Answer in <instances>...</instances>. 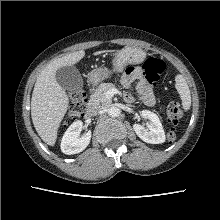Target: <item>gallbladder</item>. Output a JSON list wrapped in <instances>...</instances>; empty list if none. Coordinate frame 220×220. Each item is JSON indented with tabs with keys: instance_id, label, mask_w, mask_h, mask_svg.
Listing matches in <instances>:
<instances>
[{
	"instance_id": "bac80fb5",
	"label": "gallbladder",
	"mask_w": 220,
	"mask_h": 220,
	"mask_svg": "<svg viewBox=\"0 0 220 220\" xmlns=\"http://www.w3.org/2000/svg\"><path fill=\"white\" fill-rule=\"evenodd\" d=\"M56 80L66 91L79 92L83 87V79L75 66H64L56 71Z\"/></svg>"
}]
</instances>
